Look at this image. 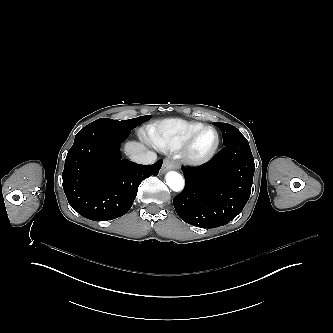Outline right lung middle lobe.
<instances>
[{
	"label": "right lung middle lobe",
	"mask_w": 333,
	"mask_h": 333,
	"mask_svg": "<svg viewBox=\"0 0 333 333\" xmlns=\"http://www.w3.org/2000/svg\"><path fill=\"white\" fill-rule=\"evenodd\" d=\"M151 119L150 115L141 116L129 120H122L117 121L109 118H100L92 122L91 124H97V125H103L111 128H115L121 131H127L130 133V131L138 126L139 124L148 121Z\"/></svg>",
	"instance_id": "right-lung-middle-lobe-1"
}]
</instances>
